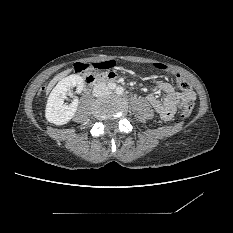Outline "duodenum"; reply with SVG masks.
<instances>
[{
  "mask_svg": "<svg viewBox=\"0 0 233 233\" xmlns=\"http://www.w3.org/2000/svg\"><path fill=\"white\" fill-rule=\"evenodd\" d=\"M86 83L89 85L95 84L97 82H111L113 81L111 76L107 73L105 74H93L90 78H85Z\"/></svg>",
  "mask_w": 233,
  "mask_h": 233,
  "instance_id": "obj_1",
  "label": "duodenum"
}]
</instances>
